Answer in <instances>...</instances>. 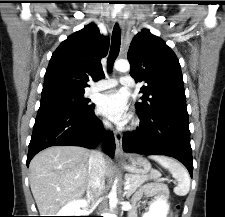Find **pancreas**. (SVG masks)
Segmentation results:
<instances>
[{"label": "pancreas", "instance_id": "1", "mask_svg": "<svg viewBox=\"0 0 225 217\" xmlns=\"http://www.w3.org/2000/svg\"><path fill=\"white\" fill-rule=\"evenodd\" d=\"M154 173L150 175H133L129 174L125 176L126 183L130 186V188L125 192L127 196L133 194L144 182L153 179ZM160 190L163 193L165 198L169 197V190L166 185H161Z\"/></svg>", "mask_w": 225, "mask_h": 217}]
</instances>
